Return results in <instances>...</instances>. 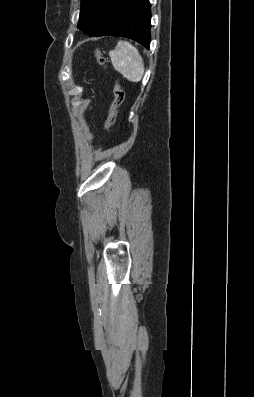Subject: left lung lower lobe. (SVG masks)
Here are the masks:
<instances>
[{"label":"left lung lower lobe","mask_w":254,"mask_h":397,"mask_svg":"<svg viewBox=\"0 0 254 397\" xmlns=\"http://www.w3.org/2000/svg\"><path fill=\"white\" fill-rule=\"evenodd\" d=\"M104 15L91 36H123L145 48L150 45L151 11L149 0H107Z\"/></svg>","instance_id":"1"}]
</instances>
